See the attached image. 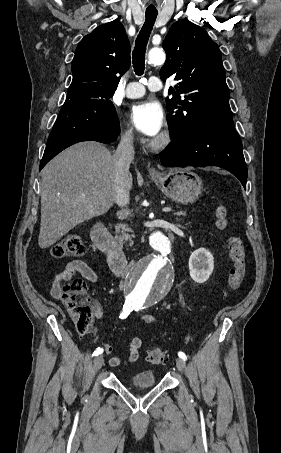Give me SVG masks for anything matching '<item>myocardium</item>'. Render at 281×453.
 <instances>
[{"label":"myocardium","mask_w":281,"mask_h":453,"mask_svg":"<svg viewBox=\"0 0 281 453\" xmlns=\"http://www.w3.org/2000/svg\"><path fill=\"white\" fill-rule=\"evenodd\" d=\"M172 142V134L169 129H165L158 137L151 139L147 146L153 150H160L168 147Z\"/></svg>","instance_id":"1"}]
</instances>
